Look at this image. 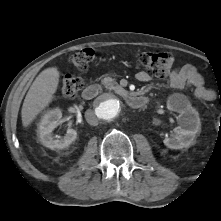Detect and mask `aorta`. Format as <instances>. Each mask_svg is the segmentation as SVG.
Masks as SVG:
<instances>
[{"instance_id":"obj_1","label":"aorta","mask_w":221,"mask_h":221,"mask_svg":"<svg viewBox=\"0 0 221 221\" xmlns=\"http://www.w3.org/2000/svg\"><path fill=\"white\" fill-rule=\"evenodd\" d=\"M123 105V102L115 95L106 94L98 100L95 113L101 121L112 122L121 115Z\"/></svg>"}]
</instances>
